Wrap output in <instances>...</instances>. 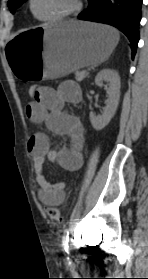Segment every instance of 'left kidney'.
Instances as JSON below:
<instances>
[{"label": "left kidney", "mask_w": 148, "mask_h": 279, "mask_svg": "<svg viewBox=\"0 0 148 279\" xmlns=\"http://www.w3.org/2000/svg\"><path fill=\"white\" fill-rule=\"evenodd\" d=\"M103 82L108 83L106 88L108 99L106 100L104 111L101 115L90 113V121L94 129H103L114 116L119 100H120V76L117 71L113 69H103L95 77V83L97 86L102 87Z\"/></svg>", "instance_id": "left-kidney-1"}]
</instances>
